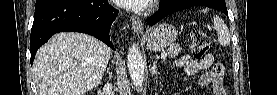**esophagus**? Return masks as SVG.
<instances>
[{
  "label": "esophagus",
  "mask_w": 277,
  "mask_h": 95,
  "mask_svg": "<svg viewBox=\"0 0 277 95\" xmlns=\"http://www.w3.org/2000/svg\"><path fill=\"white\" fill-rule=\"evenodd\" d=\"M132 30L137 35H139L143 30V22L137 16L132 17Z\"/></svg>",
  "instance_id": "1"
}]
</instances>
